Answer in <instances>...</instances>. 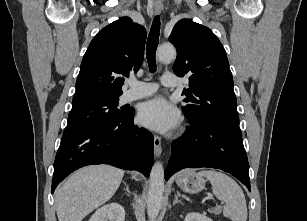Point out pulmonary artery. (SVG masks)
<instances>
[{"label": "pulmonary artery", "instance_id": "1", "mask_svg": "<svg viewBox=\"0 0 307 221\" xmlns=\"http://www.w3.org/2000/svg\"><path fill=\"white\" fill-rule=\"evenodd\" d=\"M161 84L166 87H176L178 81L173 73H164ZM129 89L122 96L123 102H130L136 99L144 98L156 92L158 85L156 83H147L135 79L128 80Z\"/></svg>", "mask_w": 307, "mask_h": 221}]
</instances>
